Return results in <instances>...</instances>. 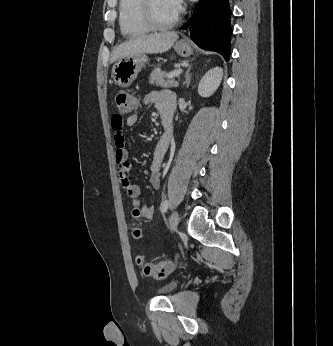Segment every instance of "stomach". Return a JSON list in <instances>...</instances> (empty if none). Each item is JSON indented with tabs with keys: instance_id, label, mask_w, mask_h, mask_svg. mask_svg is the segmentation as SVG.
<instances>
[{
	"instance_id": "1",
	"label": "stomach",
	"mask_w": 333,
	"mask_h": 346,
	"mask_svg": "<svg viewBox=\"0 0 333 346\" xmlns=\"http://www.w3.org/2000/svg\"><path fill=\"white\" fill-rule=\"evenodd\" d=\"M174 50L182 57H188L193 52L191 45L184 40L176 42ZM147 62L148 57L145 54H137L117 60L111 71L115 84L120 87L130 86Z\"/></svg>"
}]
</instances>
